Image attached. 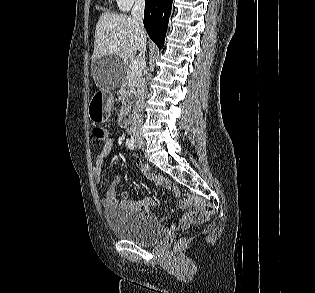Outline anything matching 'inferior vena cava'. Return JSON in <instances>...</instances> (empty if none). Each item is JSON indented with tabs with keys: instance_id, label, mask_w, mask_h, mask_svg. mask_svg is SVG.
<instances>
[{
	"instance_id": "obj_1",
	"label": "inferior vena cava",
	"mask_w": 315,
	"mask_h": 293,
	"mask_svg": "<svg viewBox=\"0 0 315 293\" xmlns=\"http://www.w3.org/2000/svg\"><path fill=\"white\" fill-rule=\"evenodd\" d=\"M145 11L144 0H135L131 11L132 23L136 34L138 56V71L135 80V103L132 111L131 134H139L143 124V105L146 96V84L143 74L145 71V51H146V34L143 25V17Z\"/></svg>"
}]
</instances>
